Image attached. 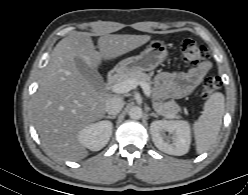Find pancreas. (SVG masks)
<instances>
[{
  "label": "pancreas",
  "instance_id": "1",
  "mask_svg": "<svg viewBox=\"0 0 248 195\" xmlns=\"http://www.w3.org/2000/svg\"><path fill=\"white\" fill-rule=\"evenodd\" d=\"M128 79H135L138 82H146L149 86L152 84L150 76L140 71L120 75L116 80V84ZM152 102L153 108L158 114L171 119L180 117L178 112L181 108L174 100L168 102L156 101V98L153 96Z\"/></svg>",
  "mask_w": 248,
  "mask_h": 195
}]
</instances>
